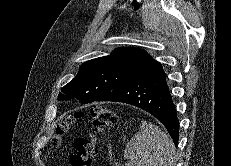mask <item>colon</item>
<instances>
[{
	"mask_svg": "<svg viewBox=\"0 0 231 166\" xmlns=\"http://www.w3.org/2000/svg\"><path fill=\"white\" fill-rule=\"evenodd\" d=\"M81 114L75 113L74 116L78 118ZM93 131L80 137L75 142V152L71 156V166H92L93 160L98 152V140L102 132L115 124L116 115L108 107L98 105L92 108ZM72 118H67L56 129V134L53 137V144L59 146L64 139Z\"/></svg>",
	"mask_w": 231,
	"mask_h": 166,
	"instance_id": "1",
	"label": "colon"
}]
</instances>
